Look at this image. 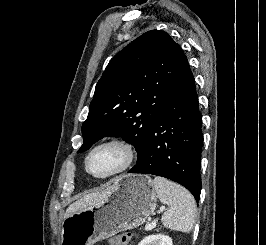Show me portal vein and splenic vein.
<instances>
[{
    "mask_svg": "<svg viewBox=\"0 0 266 245\" xmlns=\"http://www.w3.org/2000/svg\"><path fill=\"white\" fill-rule=\"evenodd\" d=\"M165 207H160V213H163ZM156 227V221H153V223H150V225H146L145 231H152V229H155Z\"/></svg>",
    "mask_w": 266,
    "mask_h": 245,
    "instance_id": "18ae733b",
    "label": "portal vein and splenic vein"
}]
</instances>
